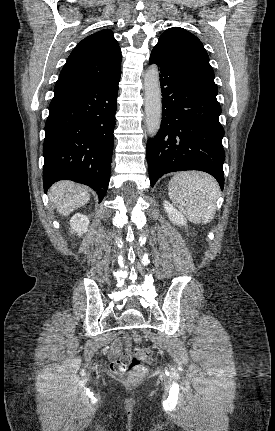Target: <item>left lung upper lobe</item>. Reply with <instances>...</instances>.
<instances>
[{
	"instance_id": "obj_1",
	"label": "left lung upper lobe",
	"mask_w": 275,
	"mask_h": 431,
	"mask_svg": "<svg viewBox=\"0 0 275 431\" xmlns=\"http://www.w3.org/2000/svg\"><path fill=\"white\" fill-rule=\"evenodd\" d=\"M154 49L185 71L203 91L216 99L218 89L214 72L203 44L195 35L180 27L169 28L162 33Z\"/></svg>"
}]
</instances>
